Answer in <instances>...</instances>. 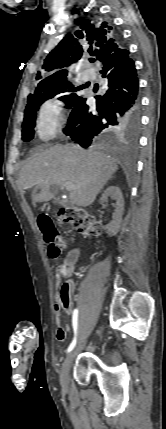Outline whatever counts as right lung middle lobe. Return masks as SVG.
Listing matches in <instances>:
<instances>
[{"instance_id":"obj_1","label":"right lung middle lobe","mask_w":166,"mask_h":429,"mask_svg":"<svg viewBox=\"0 0 166 429\" xmlns=\"http://www.w3.org/2000/svg\"><path fill=\"white\" fill-rule=\"evenodd\" d=\"M77 90L78 88L73 87L67 81L51 85H38L35 92L33 94H30L27 100V106L25 108V116L22 125V139L24 141H30L34 137L36 112L38 111L41 104L60 93H65L68 91L75 92ZM78 98V95H76L75 93H71L59 97V100H62L66 104V107H72Z\"/></svg>"}]
</instances>
